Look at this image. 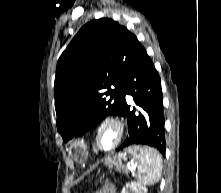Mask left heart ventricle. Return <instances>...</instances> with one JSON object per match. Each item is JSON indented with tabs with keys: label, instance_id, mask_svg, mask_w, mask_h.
<instances>
[{
	"label": "left heart ventricle",
	"instance_id": "obj_1",
	"mask_svg": "<svg viewBox=\"0 0 221 193\" xmlns=\"http://www.w3.org/2000/svg\"><path fill=\"white\" fill-rule=\"evenodd\" d=\"M116 139V132L113 127H105L100 135V144L103 148H109Z\"/></svg>",
	"mask_w": 221,
	"mask_h": 193
}]
</instances>
